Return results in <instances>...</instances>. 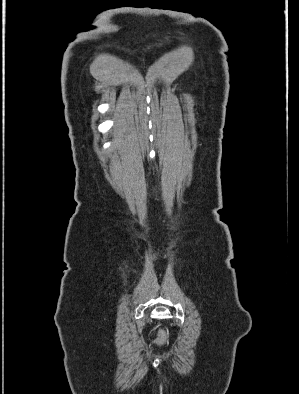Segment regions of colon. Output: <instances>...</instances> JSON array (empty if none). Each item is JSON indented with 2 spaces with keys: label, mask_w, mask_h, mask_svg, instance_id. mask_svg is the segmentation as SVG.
<instances>
[{
  "label": "colon",
  "mask_w": 299,
  "mask_h": 394,
  "mask_svg": "<svg viewBox=\"0 0 299 394\" xmlns=\"http://www.w3.org/2000/svg\"><path fill=\"white\" fill-rule=\"evenodd\" d=\"M168 342V333L166 330L161 329L158 332L157 338L154 341V344L157 346L164 345Z\"/></svg>",
  "instance_id": "1"
}]
</instances>
